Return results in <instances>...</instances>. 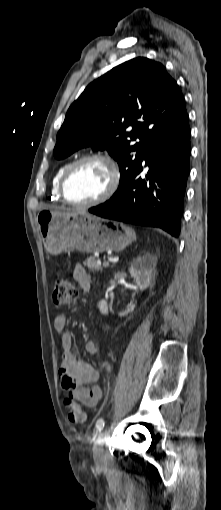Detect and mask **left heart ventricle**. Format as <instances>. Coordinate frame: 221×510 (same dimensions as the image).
Wrapping results in <instances>:
<instances>
[{
  "mask_svg": "<svg viewBox=\"0 0 221 510\" xmlns=\"http://www.w3.org/2000/svg\"><path fill=\"white\" fill-rule=\"evenodd\" d=\"M110 171L99 161H87L78 165L66 183L67 197L73 202H88L99 197L108 187Z\"/></svg>",
  "mask_w": 221,
  "mask_h": 510,
  "instance_id": "left-heart-ventricle-1",
  "label": "left heart ventricle"
}]
</instances>
